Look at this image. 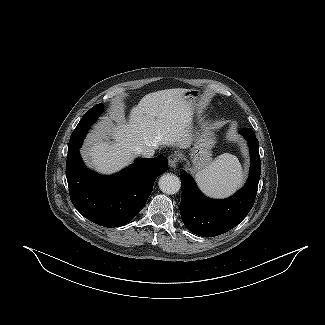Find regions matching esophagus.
<instances>
[{
	"label": "esophagus",
	"instance_id": "obj_1",
	"mask_svg": "<svg viewBox=\"0 0 325 325\" xmlns=\"http://www.w3.org/2000/svg\"><path fill=\"white\" fill-rule=\"evenodd\" d=\"M178 162H179V156L177 154H171L168 157V163L171 168H173V169L176 168V166L178 165Z\"/></svg>",
	"mask_w": 325,
	"mask_h": 325
}]
</instances>
